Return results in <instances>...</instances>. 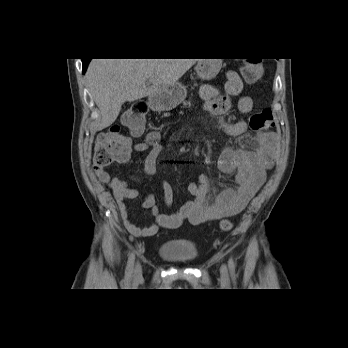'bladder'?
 Here are the masks:
<instances>
[{
  "label": "bladder",
  "instance_id": "31cf9c89",
  "mask_svg": "<svg viewBox=\"0 0 348 348\" xmlns=\"http://www.w3.org/2000/svg\"><path fill=\"white\" fill-rule=\"evenodd\" d=\"M158 254L169 262L187 263L196 257L197 247L190 241H167L159 246Z\"/></svg>",
  "mask_w": 348,
  "mask_h": 348
}]
</instances>
